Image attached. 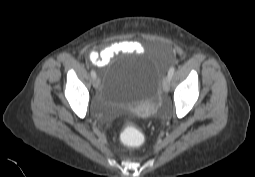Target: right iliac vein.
I'll return each instance as SVG.
<instances>
[{"label":"right iliac vein","mask_w":255,"mask_h":177,"mask_svg":"<svg viewBox=\"0 0 255 177\" xmlns=\"http://www.w3.org/2000/svg\"><path fill=\"white\" fill-rule=\"evenodd\" d=\"M100 81L98 78L93 79V87L97 89L99 87Z\"/></svg>","instance_id":"1"}]
</instances>
